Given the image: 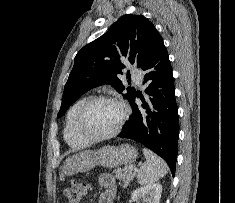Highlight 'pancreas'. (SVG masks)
Segmentation results:
<instances>
[{
  "mask_svg": "<svg viewBox=\"0 0 235 203\" xmlns=\"http://www.w3.org/2000/svg\"><path fill=\"white\" fill-rule=\"evenodd\" d=\"M113 172L116 174L117 178H119L125 183V185H128L136 175V172L134 171V166L132 165L126 166L123 169H115Z\"/></svg>",
  "mask_w": 235,
  "mask_h": 203,
  "instance_id": "cf45deb5",
  "label": "pancreas"
}]
</instances>
